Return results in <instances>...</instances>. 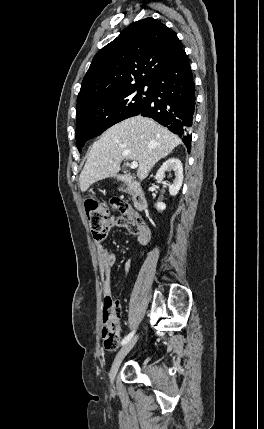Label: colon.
Segmentation results:
<instances>
[{
    "instance_id": "colon-1",
    "label": "colon",
    "mask_w": 264,
    "mask_h": 429,
    "mask_svg": "<svg viewBox=\"0 0 264 429\" xmlns=\"http://www.w3.org/2000/svg\"><path fill=\"white\" fill-rule=\"evenodd\" d=\"M85 212L89 222L90 230L94 238H101L106 230V226L111 219V211L116 210L121 214L130 217L132 212L128 204L115 199L110 205L104 203L96 197H89L85 200ZM120 307L111 297L104 299L102 316V338L107 350H115L120 339Z\"/></svg>"
}]
</instances>
